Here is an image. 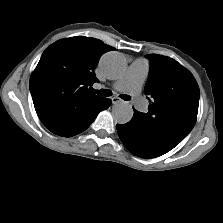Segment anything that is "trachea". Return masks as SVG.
Masks as SVG:
<instances>
[{
    "mask_svg": "<svg viewBox=\"0 0 223 223\" xmlns=\"http://www.w3.org/2000/svg\"><path fill=\"white\" fill-rule=\"evenodd\" d=\"M93 92H95L98 95L105 96V97L112 95V92L109 89L93 90ZM120 97L125 101L130 100V96L126 95V94H122V95H120Z\"/></svg>",
    "mask_w": 223,
    "mask_h": 223,
    "instance_id": "3493384b",
    "label": "trachea"
}]
</instances>
